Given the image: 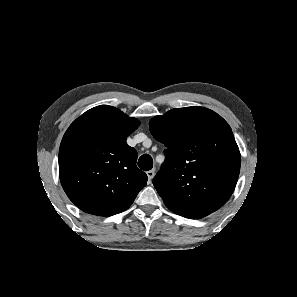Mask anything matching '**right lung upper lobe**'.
Wrapping results in <instances>:
<instances>
[{
    "label": "right lung upper lobe",
    "instance_id": "right-lung-upper-lobe-1",
    "mask_svg": "<svg viewBox=\"0 0 297 297\" xmlns=\"http://www.w3.org/2000/svg\"><path fill=\"white\" fill-rule=\"evenodd\" d=\"M140 122L119 109L94 107L67 129L59 149V175L69 199L89 214L109 217L130 207L147 175L126 143Z\"/></svg>",
    "mask_w": 297,
    "mask_h": 297
}]
</instances>
